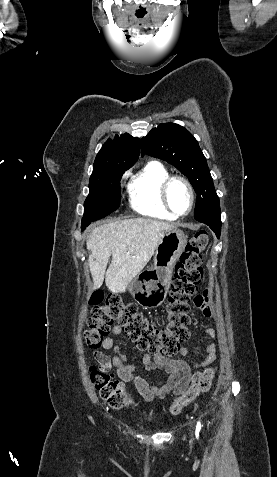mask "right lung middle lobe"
I'll return each instance as SVG.
<instances>
[{
  "mask_svg": "<svg viewBox=\"0 0 277 477\" xmlns=\"http://www.w3.org/2000/svg\"><path fill=\"white\" fill-rule=\"evenodd\" d=\"M129 168L114 167L93 173L89 181L90 193L85 200L81 229L91 222L112 213L120 206V179Z\"/></svg>",
  "mask_w": 277,
  "mask_h": 477,
  "instance_id": "right-lung-middle-lobe-1",
  "label": "right lung middle lobe"
}]
</instances>
